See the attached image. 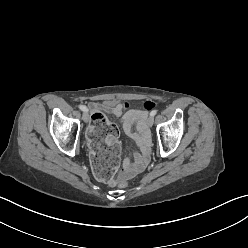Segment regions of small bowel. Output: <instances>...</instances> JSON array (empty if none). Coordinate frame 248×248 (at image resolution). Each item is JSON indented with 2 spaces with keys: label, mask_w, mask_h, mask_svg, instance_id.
<instances>
[{
  "label": "small bowel",
  "mask_w": 248,
  "mask_h": 248,
  "mask_svg": "<svg viewBox=\"0 0 248 248\" xmlns=\"http://www.w3.org/2000/svg\"><path fill=\"white\" fill-rule=\"evenodd\" d=\"M89 107L94 112L103 110L115 117H119V122L123 132L126 136L133 139L139 148V152H135L133 154L134 162H132L129 158L124 159L121 176L132 177L142 171L149 158L147 113L136 109H129L125 111L128 104L115 103L114 101L91 103ZM134 125L136 126V131L132 130ZM108 140L110 142H114L116 137L110 136Z\"/></svg>",
  "instance_id": "obj_1"
}]
</instances>
